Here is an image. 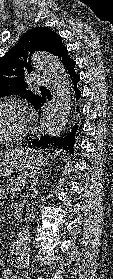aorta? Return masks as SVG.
<instances>
[{"label": "aorta", "mask_w": 113, "mask_h": 279, "mask_svg": "<svg viewBox=\"0 0 113 279\" xmlns=\"http://www.w3.org/2000/svg\"><path fill=\"white\" fill-rule=\"evenodd\" d=\"M32 64L46 73L56 91V105L52 114L44 121L45 135L58 137L66 124L71 110V86L63 64L47 52H35ZM16 265L21 268L29 266L30 262V219L20 229L16 241Z\"/></svg>", "instance_id": "762f6f07"}]
</instances>
